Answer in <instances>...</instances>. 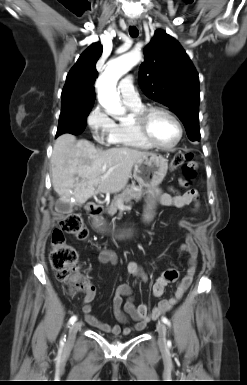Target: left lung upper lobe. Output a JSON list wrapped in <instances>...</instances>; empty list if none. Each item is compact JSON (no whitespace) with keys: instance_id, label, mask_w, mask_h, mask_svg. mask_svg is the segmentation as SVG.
Here are the masks:
<instances>
[{"instance_id":"5c2ea615","label":"left lung upper lobe","mask_w":247,"mask_h":385,"mask_svg":"<svg viewBox=\"0 0 247 385\" xmlns=\"http://www.w3.org/2000/svg\"><path fill=\"white\" fill-rule=\"evenodd\" d=\"M144 55L138 78L142 91L177 115L190 140H199V78L188 55L163 30L155 32Z\"/></svg>"}]
</instances>
